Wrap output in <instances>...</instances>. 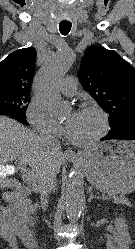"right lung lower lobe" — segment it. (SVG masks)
<instances>
[{
    "instance_id": "1",
    "label": "right lung lower lobe",
    "mask_w": 135,
    "mask_h": 249,
    "mask_svg": "<svg viewBox=\"0 0 135 249\" xmlns=\"http://www.w3.org/2000/svg\"><path fill=\"white\" fill-rule=\"evenodd\" d=\"M0 115H5V116H10L13 119L21 122L24 125H28L27 120L25 119V117H22L16 113H14L13 111L7 110V109H0Z\"/></svg>"
}]
</instances>
